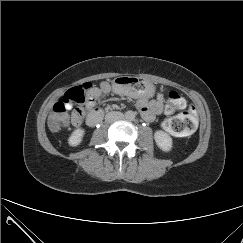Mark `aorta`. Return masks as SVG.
Returning <instances> with one entry per match:
<instances>
[{"label": "aorta", "mask_w": 243, "mask_h": 243, "mask_svg": "<svg viewBox=\"0 0 243 243\" xmlns=\"http://www.w3.org/2000/svg\"><path fill=\"white\" fill-rule=\"evenodd\" d=\"M135 115H136L135 112H133V111H127V112L125 113V118H126L127 120H133V119L135 118Z\"/></svg>", "instance_id": "762f6f07"}]
</instances>
